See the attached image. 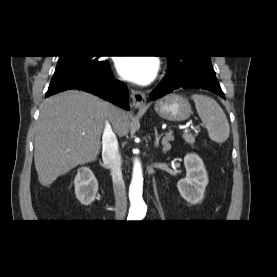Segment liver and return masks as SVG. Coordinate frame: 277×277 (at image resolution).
<instances>
[{
	"instance_id": "6515ba94",
	"label": "liver",
	"mask_w": 277,
	"mask_h": 277,
	"mask_svg": "<svg viewBox=\"0 0 277 277\" xmlns=\"http://www.w3.org/2000/svg\"><path fill=\"white\" fill-rule=\"evenodd\" d=\"M107 118L119 136L128 134L127 113L94 95L68 90L46 99L34 140L40 184L48 187L77 165L95 161Z\"/></svg>"
}]
</instances>
